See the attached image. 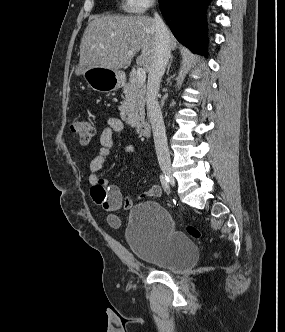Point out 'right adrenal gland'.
Returning <instances> with one entry per match:
<instances>
[{"instance_id":"obj_1","label":"right adrenal gland","mask_w":285,"mask_h":332,"mask_svg":"<svg viewBox=\"0 0 285 332\" xmlns=\"http://www.w3.org/2000/svg\"><path fill=\"white\" fill-rule=\"evenodd\" d=\"M172 61H173V56L170 57V62H169L168 67H167V74H168L169 71H170V67H171V63H172Z\"/></svg>"}]
</instances>
